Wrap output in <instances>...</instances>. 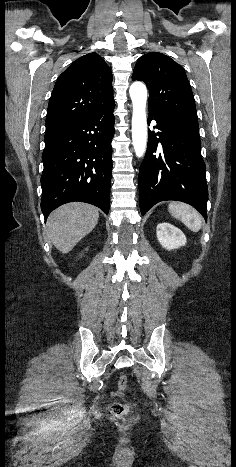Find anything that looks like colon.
Listing matches in <instances>:
<instances>
[{
    "label": "colon",
    "instance_id": "obj_1",
    "mask_svg": "<svg viewBox=\"0 0 236 467\" xmlns=\"http://www.w3.org/2000/svg\"><path fill=\"white\" fill-rule=\"evenodd\" d=\"M117 385H118V390L120 392H124L126 390L127 385H128V380L124 374L119 375ZM128 411H129V406L127 404L120 403V402L111 404L108 409L109 415L112 418L117 419V420H124V418L128 414Z\"/></svg>",
    "mask_w": 236,
    "mask_h": 467
}]
</instances>
